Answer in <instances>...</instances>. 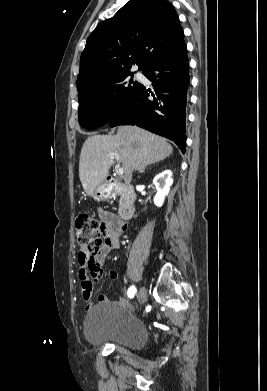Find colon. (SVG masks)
<instances>
[{
	"instance_id": "colon-1",
	"label": "colon",
	"mask_w": 267,
	"mask_h": 391,
	"mask_svg": "<svg viewBox=\"0 0 267 391\" xmlns=\"http://www.w3.org/2000/svg\"><path fill=\"white\" fill-rule=\"evenodd\" d=\"M75 232L81 254L95 255L103 246V224L90 212H80L75 220Z\"/></svg>"
}]
</instances>
